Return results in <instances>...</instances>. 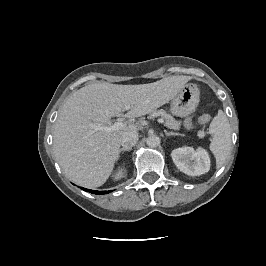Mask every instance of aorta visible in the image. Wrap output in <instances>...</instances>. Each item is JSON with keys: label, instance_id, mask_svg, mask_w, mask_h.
I'll use <instances>...</instances> for the list:
<instances>
[{"label": "aorta", "instance_id": "obj_1", "mask_svg": "<svg viewBox=\"0 0 266 266\" xmlns=\"http://www.w3.org/2000/svg\"><path fill=\"white\" fill-rule=\"evenodd\" d=\"M147 145L151 148H155L160 144V138L156 135L149 136L146 141Z\"/></svg>", "mask_w": 266, "mask_h": 266}]
</instances>
